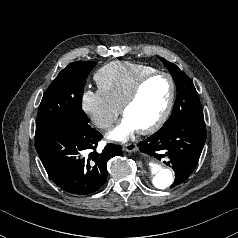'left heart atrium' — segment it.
<instances>
[{
    "label": "left heart atrium",
    "instance_id": "left-heart-atrium-1",
    "mask_svg": "<svg viewBox=\"0 0 238 238\" xmlns=\"http://www.w3.org/2000/svg\"><path fill=\"white\" fill-rule=\"evenodd\" d=\"M137 130V126L125 116L121 122L109 132L108 137L115 141H125Z\"/></svg>",
    "mask_w": 238,
    "mask_h": 238
}]
</instances>
